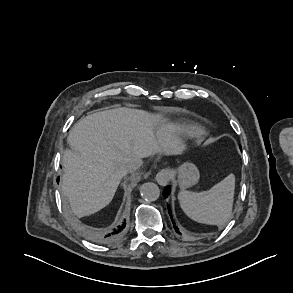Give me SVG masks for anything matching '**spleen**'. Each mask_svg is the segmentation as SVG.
I'll return each instance as SVG.
<instances>
[{"instance_id":"obj_1","label":"spleen","mask_w":293,"mask_h":293,"mask_svg":"<svg viewBox=\"0 0 293 293\" xmlns=\"http://www.w3.org/2000/svg\"><path fill=\"white\" fill-rule=\"evenodd\" d=\"M235 176L229 174L208 191H180L178 199L185 214L192 220L223 226L232 215Z\"/></svg>"}]
</instances>
